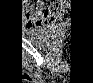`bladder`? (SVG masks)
Masks as SVG:
<instances>
[{
	"label": "bladder",
	"instance_id": "bladder-1",
	"mask_svg": "<svg viewBox=\"0 0 93 83\" xmlns=\"http://www.w3.org/2000/svg\"><path fill=\"white\" fill-rule=\"evenodd\" d=\"M27 31L34 37L38 38L40 41H44L47 37L46 33L42 30V27L36 26L27 29Z\"/></svg>",
	"mask_w": 93,
	"mask_h": 83
}]
</instances>
